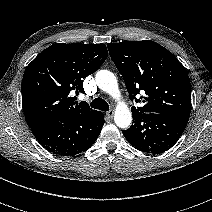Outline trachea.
<instances>
[{
	"instance_id": "obj_1",
	"label": "trachea",
	"mask_w": 212,
	"mask_h": 212,
	"mask_svg": "<svg viewBox=\"0 0 212 212\" xmlns=\"http://www.w3.org/2000/svg\"><path fill=\"white\" fill-rule=\"evenodd\" d=\"M90 105H91L92 108L99 109V110H102V111H108L109 110L108 103L102 98H95L91 102Z\"/></svg>"
}]
</instances>
